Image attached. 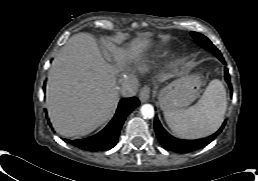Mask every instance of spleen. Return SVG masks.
Masks as SVG:
<instances>
[{
    "label": "spleen",
    "instance_id": "1",
    "mask_svg": "<svg viewBox=\"0 0 258 181\" xmlns=\"http://www.w3.org/2000/svg\"><path fill=\"white\" fill-rule=\"evenodd\" d=\"M227 109L222 82L212 80L198 102L181 110H165L164 117L174 134L184 139H198L214 133L222 124Z\"/></svg>",
    "mask_w": 258,
    "mask_h": 181
}]
</instances>
